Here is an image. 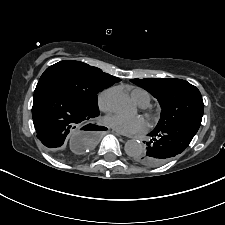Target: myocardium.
<instances>
[{
	"label": "myocardium",
	"instance_id": "obj_1",
	"mask_svg": "<svg viewBox=\"0 0 225 225\" xmlns=\"http://www.w3.org/2000/svg\"><path fill=\"white\" fill-rule=\"evenodd\" d=\"M148 117L151 119V120H156L157 119V114L155 112H148Z\"/></svg>",
	"mask_w": 225,
	"mask_h": 225
}]
</instances>
